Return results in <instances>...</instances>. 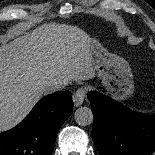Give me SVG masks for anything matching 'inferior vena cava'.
<instances>
[{"label": "inferior vena cava", "instance_id": "inferior-vena-cava-1", "mask_svg": "<svg viewBox=\"0 0 155 155\" xmlns=\"http://www.w3.org/2000/svg\"><path fill=\"white\" fill-rule=\"evenodd\" d=\"M62 88H63V85L61 83L50 82L44 87L43 91L45 94H48V93H53L55 91H60L62 90Z\"/></svg>", "mask_w": 155, "mask_h": 155}]
</instances>
